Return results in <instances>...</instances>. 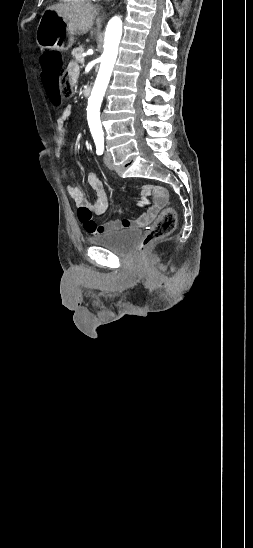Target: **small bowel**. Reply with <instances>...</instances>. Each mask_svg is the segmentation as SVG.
Masks as SVG:
<instances>
[{
    "label": "small bowel",
    "mask_w": 253,
    "mask_h": 548,
    "mask_svg": "<svg viewBox=\"0 0 253 548\" xmlns=\"http://www.w3.org/2000/svg\"><path fill=\"white\" fill-rule=\"evenodd\" d=\"M66 73L70 76L72 83H75L79 75L78 65L74 62H70L67 66ZM69 116V108L58 106L56 142L59 147L56 152L57 157L61 156V145L63 143L66 123ZM88 183L95 191V197L92 201L86 197L85 193L79 187L73 184H68L66 190L75 204L79 207L77 210L79 221L83 224L85 230L92 235H99L122 228L145 226L155 218L160 208L168 201V192L165 188L161 186L144 185L141 189L142 200L138 205L146 207L147 209L139 218L135 220H115L104 224H97L93 220L92 213L95 215L106 213L110 208V199L104 183L97 174L93 172L89 173ZM150 197L153 198L152 203L149 200Z\"/></svg>",
    "instance_id": "obj_1"
}]
</instances>
